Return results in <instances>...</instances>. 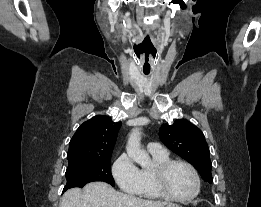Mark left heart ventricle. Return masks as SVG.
<instances>
[{
	"mask_svg": "<svg viewBox=\"0 0 261 207\" xmlns=\"http://www.w3.org/2000/svg\"><path fill=\"white\" fill-rule=\"evenodd\" d=\"M166 186L172 195L181 198L188 197L195 190V181L189 169L178 164L168 171Z\"/></svg>",
	"mask_w": 261,
	"mask_h": 207,
	"instance_id": "b2bd125f",
	"label": "left heart ventricle"
}]
</instances>
